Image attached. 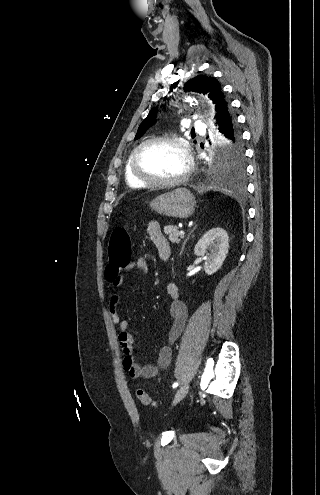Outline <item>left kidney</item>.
<instances>
[{"instance_id":"obj_1","label":"left kidney","mask_w":320,"mask_h":495,"mask_svg":"<svg viewBox=\"0 0 320 495\" xmlns=\"http://www.w3.org/2000/svg\"><path fill=\"white\" fill-rule=\"evenodd\" d=\"M228 249V233L224 229L214 228L204 234L198 241L194 248V253L202 257L205 261V272L208 275H212L221 268Z\"/></svg>"}]
</instances>
